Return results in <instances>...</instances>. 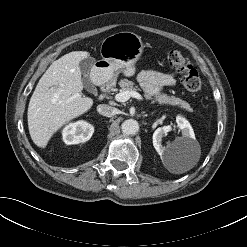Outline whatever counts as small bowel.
<instances>
[{"instance_id":"1","label":"small bowel","mask_w":247,"mask_h":247,"mask_svg":"<svg viewBox=\"0 0 247 247\" xmlns=\"http://www.w3.org/2000/svg\"><path fill=\"white\" fill-rule=\"evenodd\" d=\"M138 81L147 95L158 93L164 86H173L176 83L175 75L158 70H144L138 74Z\"/></svg>"}]
</instances>
